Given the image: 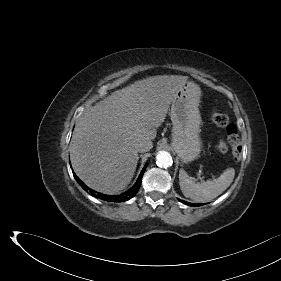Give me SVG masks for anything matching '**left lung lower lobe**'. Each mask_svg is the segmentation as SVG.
Returning a JSON list of instances; mask_svg holds the SVG:
<instances>
[{
  "label": "left lung lower lobe",
  "mask_w": 281,
  "mask_h": 281,
  "mask_svg": "<svg viewBox=\"0 0 281 281\" xmlns=\"http://www.w3.org/2000/svg\"><path fill=\"white\" fill-rule=\"evenodd\" d=\"M182 203L186 204V205H189V206H200L202 204H192V203H188L186 201H183V200H180Z\"/></svg>",
  "instance_id": "left-lung-lower-lobe-1"
}]
</instances>
